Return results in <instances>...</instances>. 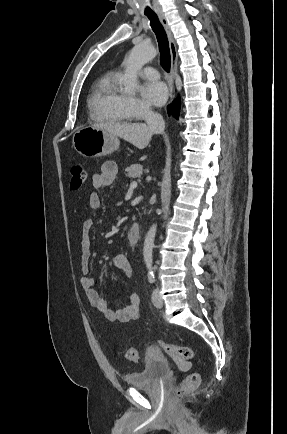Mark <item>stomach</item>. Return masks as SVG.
<instances>
[{
    "instance_id": "stomach-1",
    "label": "stomach",
    "mask_w": 287,
    "mask_h": 434,
    "mask_svg": "<svg viewBox=\"0 0 287 434\" xmlns=\"http://www.w3.org/2000/svg\"><path fill=\"white\" fill-rule=\"evenodd\" d=\"M120 141L117 136L93 126L83 127L73 135L74 149L84 157L96 158L117 151Z\"/></svg>"
}]
</instances>
